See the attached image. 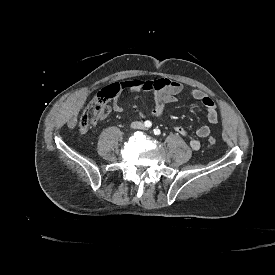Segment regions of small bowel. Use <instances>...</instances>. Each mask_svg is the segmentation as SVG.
Wrapping results in <instances>:
<instances>
[{"instance_id":"1","label":"small bowel","mask_w":275,"mask_h":275,"mask_svg":"<svg viewBox=\"0 0 275 275\" xmlns=\"http://www.w3.org/2000/svg\"><path fill=\"white\" fill-rule=\"evenodd\" d=\"M120 84H125L124 89H127L130 94L140 91L152 92L155 106L151 114L154 117L162 115L166 104L175 102L181 94H187L190 98L199 101L204 106L209 124L215 125L219 121V113L215 101L201 89L192 88L186 90L183 84L169 78H159L153 81L131 80ZM112 110L117 113L123 110V106L117 98L112 102ZM140 116L143 117L144 114L141 113ZM87 130L80 131L86 133ZM174 130L182 136L189 137L190 145L193 149H198L200 147L198 139L189 136L187 129L182 125H174ZM210 133L211 128L209 125H202L196 130V136L198 138H206Z\"/></svg>"}]
</instances>
